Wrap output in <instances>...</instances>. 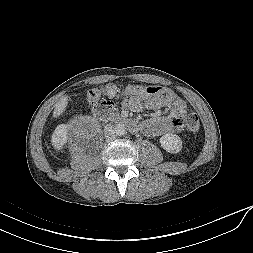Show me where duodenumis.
<instances>
[{
  "mask_svg": "<svg viewBox=\"0 0 253 253\" xmlns=\"http://www.w3.org/2000/svg\"><path fill=\"white\" fill-rule=\"evenodd\" d=\"M93 116L97 119L109 117V119L113 120L115 123L123 124L132 131H136L139 129V124L136 120L125 116L116 115L113 112H111V110L103 108L102 106L94 107Z\"/></svg>",
  "mask_w": 253,
  "mask_h": 253,
  "instance_id": "duodenum-1",
  "label": "duodenum"
}]
</instances>
